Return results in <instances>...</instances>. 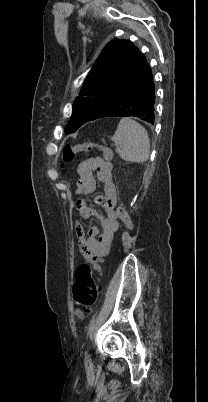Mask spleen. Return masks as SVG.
Here are the masks:
<instances>
[{
	"mask_svg": "<svg viewBox=\"0 0 208 402\" xmlns=\"http://www.w3.org/2000/svg\"><path fill=\"white\" fill-rule=\"evenodd\" d=\"M111 140L115 142L117 154L125 162H147L150 154V140L147 130L131 118H122Z\"/></svg>",
	"mask_w": 208,
	"mask_h": 402,
	"instance_id": "3e777b00",
	"label": "spleen"
}]
</instances>
